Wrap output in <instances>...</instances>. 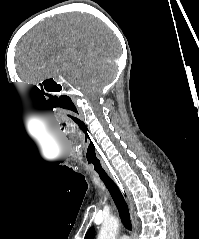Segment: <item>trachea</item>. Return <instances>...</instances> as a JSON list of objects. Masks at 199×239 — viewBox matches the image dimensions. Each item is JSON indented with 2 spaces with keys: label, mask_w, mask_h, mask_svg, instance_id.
<instances>
[{
  "label": "trachea",
  "mask_w": 199,
  "mask_h": 239,
  "mask_svg": "<svg viewBox=\"0 0 199 239\" xmlns=\"http://www.w3.org/2000/svg\"><path fill=\"white\" fill-rule=\"evenodd\" d=\"M99 177L114 200L124 227L128 230H132L129 209L120 189L106 173H99Z\"/></svg>",
  "instance_id": "3493384b"
}]
</instances>
